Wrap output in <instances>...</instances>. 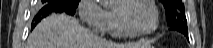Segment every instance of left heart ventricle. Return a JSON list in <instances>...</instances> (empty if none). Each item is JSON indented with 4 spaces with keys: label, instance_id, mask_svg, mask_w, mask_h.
Returning a JSON list of instances; mask_svg holds the SVG:
<instances>
[{
    "label": "left heart ventricle",
    "instance_id": "left-heart-ventricle-1",
    "mask_svg": "<svg viewBox=\"0 0 213 48\" xmlns=\"http://www.w3.org/2000/svg\"><path fill=\"white\" fill-rule=\"evenodd\" d=\"M115 10H119L127 23L137 31H148L154 25L153 10L145 2L135 1L124 7L119 4L115 7Z\"/></svg>",
    "mask_w": 213,
    "mask_h": 48
}]
</instances>
